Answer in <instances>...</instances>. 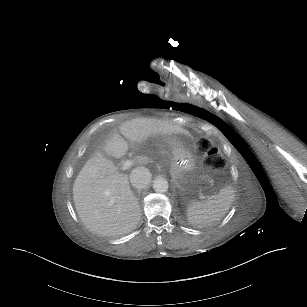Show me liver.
<instances>
[{
  "label": "liver",
  "instance_id": "6515ba94",
  "mask_svg": "<svg viewBox=\"0 0 307 307\" xmlns=\"http://www.w3.org/2000/svg\"><path fill=\"white\" fill-rule=\"evenodd\" d=\"M126 139H124L122 136ZM185 135L188 130L169 121L137 118L123 123L106 143L107 152L119 159L129 148L143 145L150 138ZM143 165L145 158H137ZM73 201L83 224L100 236H118L136 229L141 218L137 197L131 190L128 174H119L112 161L101 154L90 158L73 185Z\"/></svg>",
  "mask_w": 307,
  "mask_h": 307
}]
</instances>
